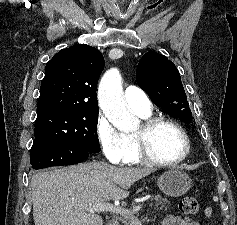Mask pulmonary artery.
Wrapping results in <instances>:
<instances>
[{
    "instance_id": "e3ab8cb5",
    "label": "pulmonary artery",
    "mask_w": 237,
    "mask_h": 225,
    "mask_svg": "<svg viewBox=\"0 0 237 225\" xmlns=\"http://www.w3.org/2000/svg\"><path fill=\"white\" fill-rule=\"evenodd\" d=\"M124 101L127 106L142 115L150 114L151 102L147 94L137 86L129 85L124 91Z\"/></svg>"
}]
</instances>
